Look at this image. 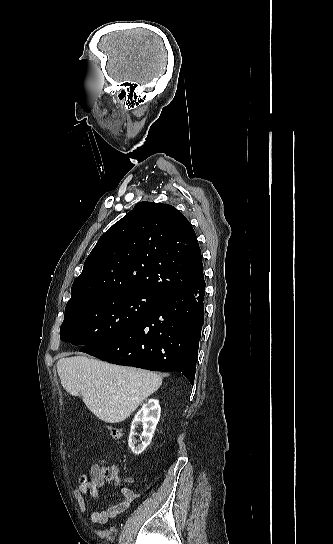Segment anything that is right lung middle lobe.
I'll list each match as a JSON object with an SVG mask.
<instances>
[{
	"label": "right lung middle lobe",
	"mask_w": 333,
	"mask_h": 544,
	"mask_svg": "<svg viewBox=\"0 0 333 544\" xmlns=\"http://www.w3.org/2000/svg\"><path fill=\"white\" fill-rule=\"evenodd\" d=\"M162 297L143 291L102 293L66 305L60 338L80 345L85 352L92 345L118 336L138 324Z\"/></svg>",
	"instance_id": "1"
}]
</instances>
